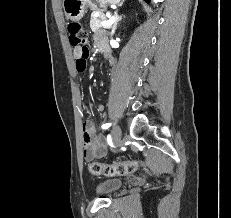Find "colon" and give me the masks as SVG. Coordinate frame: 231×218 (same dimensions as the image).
Returning <instances> with one entry per match:
<instances>
[{
	"label": "colon",
	"mask_w": 231,
	"mask_h": 218,
	"mask_svg": "<svg viewBox=\"0 0 231 218\" xmlns=\"http://www.w3.org/2000/svg\"><path fill=\"white\" fill-rule=\"evenodd\" d=\"M68 34L70 45L76 49H80L82 56H89V50L87 47L88 32L85 28L76 21L68 24ZM138 164L135 160L118 161L112 164H103L100 162H90L88 165L89 171L94 175L105 176H122L133 173L137 170Z\"/></svg>",
	"instance_id": "1"
}]
</instances>
